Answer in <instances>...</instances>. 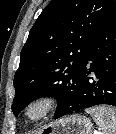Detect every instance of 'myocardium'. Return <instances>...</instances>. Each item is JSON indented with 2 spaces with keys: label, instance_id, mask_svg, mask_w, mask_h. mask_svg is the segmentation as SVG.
Instances as JSON below:
<instances>
[{
  "label": "myocardium",
  "instance_id": "obj_1",
  "mask_svg": "<svg viewBox=\"0 0 116 134\" xmlns=\"http://www.w3.org/2000/svg\"><path fill=\"white\" fill-rule=\"evenodd\" d=\"M56 105L57 102L53 96L37 97L26 105L23 112L24 119L29 124H37L52 114Z\"/></svg>",
  "mask_w": 116,
  "mask_h": 134
}]
</instances>
